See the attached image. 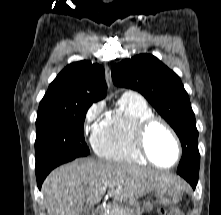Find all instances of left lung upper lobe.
Listing matches in <instances>:
<instances>
[{"label": "left lung upper lobe", "instance_id": "5c2ea615", "mask_svg": "<svg viewBox=\"0 0 221 215\" xmlns=\"http://www.w3.org/2000/svg\"><path fill=\"white\" fill-rule=\"evenodd\" d=\"M116 86L140 92L177 133L183 148L178 172H199L195 115L180 78L159 59L140 54L112 69Z\"/></svg>", "mask_w": 221, "mask_h": 215}]
</instances>
